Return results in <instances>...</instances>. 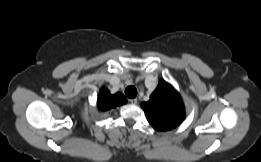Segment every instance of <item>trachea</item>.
Returning <instances> with one entry per match:
<instances>
[{"label": "trachea", "mask_w": 261, "mask_h": 162, "mask_svg": "<svg viewBox=\"0 0 261 162\" xmlns=\"http://www.w3.org/2000/svg\"><path fill=\"white\" fill-rule=\"evenodd\" d=\"M125 94L128 98H135L137 95V89L134 86H129L125 89Z\"/></svg>", "instance_id": "1"}]
</instances>
